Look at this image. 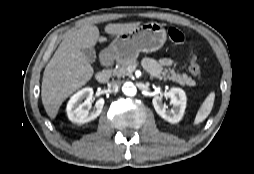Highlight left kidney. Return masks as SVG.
Listing matches in <instances>:
<instances>
[{
  "label": "left kidney",
  "instance_id": "obj_1",
  "mask_svg": "<svg viewBox=\"0 0 254 174\" xmlns=\"http://www.w3.org/2000/svg\"><path fill=\"white\" fill-rule=\"evenodd\" d=\"M163 96L170 98V103L173 106L171 109L166 108L163 104ZM186 100V94L182 89L171 88L169 91L164 92L161 95H156L153 98L152 103L159 116L174 124L178 123L182 119L186 108Z\"/></svg>",
  "mask_w": 254,
  "mask_h": 174
}]
</instances>
